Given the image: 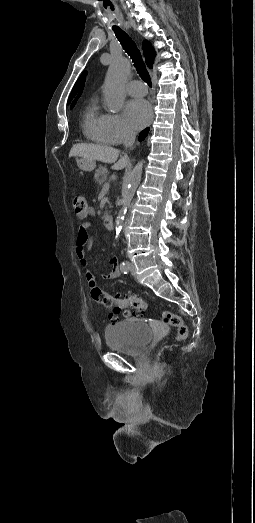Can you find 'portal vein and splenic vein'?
<instances>
[{"instance_id":"portal-vein-and-splenic-vein-1","label":"portal vein and splenic vein","mask_w":255,"mask_h":523,"mask_svg":"<svg viewBox=\"0 0 255 523\" xmlns=\"http://www.w3.org/2000/svg\"><path fill=\"white\" fill-rule=\"evenodd\" d=\"M108 191H111V188H109L108 182H103V188H102V191H99V196H102V197L108 196Z\"/></svg>"}]
</instances>
